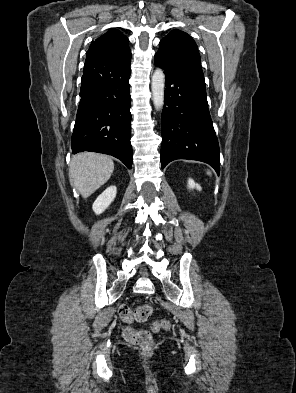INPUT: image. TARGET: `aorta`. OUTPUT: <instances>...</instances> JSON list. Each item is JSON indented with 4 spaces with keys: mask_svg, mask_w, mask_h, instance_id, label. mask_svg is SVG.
I'll use <instances>...</instances> for the list:
<instances>
[{
    "mask_svg": "<svg viewBox=\"0 0 296 393\" xmlns=\"http://www.w3.org/2000/svg\"><path fill=\"white\" fill-rule=\"evenodd\" d=\"M165 75L162 69L157 68L152 76L151 90L153 104L156 110H160L164 105Z\"/></svg>",
    "mask_w": 296,
    "mask_h": 393,
    "instance_id": "aorta-1",
    "label": "aorta"
}]
</instances>
